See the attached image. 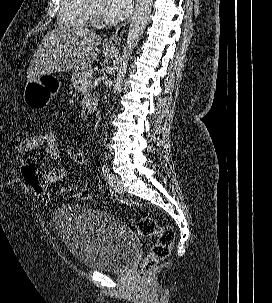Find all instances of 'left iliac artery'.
<instances>
[{
  "mask_svg": "<svg viewBox=\"0 0 272 303\" xmlns=\"http://www.w3.org/2000/svg\"><path fill=\"white\" fill-rule=\"evenodd\" d=\"M102 172H103V175L105 177H108V175H109V168H108V165L106 163H104L103 166H102Z\"/></svg>",
  "mask_w": 272,
  "mask_h": 303,
  "instance_id": "1",
  "label": "left iliac artery"
}]
</instances>
